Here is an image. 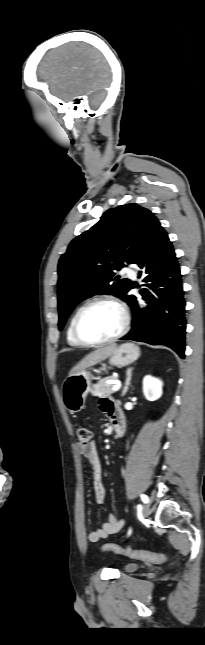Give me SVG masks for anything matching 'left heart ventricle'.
<instances>
[{
  "mask_svg": "<svg viewBox=\"0 0 205 645\" xmlns=\"http://www.w3.org/2000/svg\"><path fill=\"white\" fill-rule=\"evenodd\" d=\"M122 324L120 311L111 304H96L81 315L79 330L87 340H103L118 332Z\"/></svg>",
  "mask_w": 205,
  "mask_h": 645,
  "instance_id": "left-heart-ventricle-1",
  "label": "left heart ventricle"
}]
</instances>
